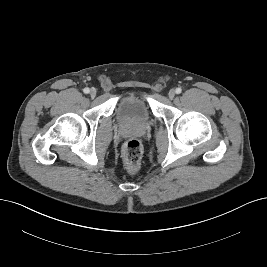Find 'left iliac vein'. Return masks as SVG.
Listing matches in <instances>:
<instances>
[{"label":"left iliac vein","mask_w":267,"mask_h":267,"mask_svg":"<svg viewBox=\"0 0 267 267\" xmlns=\"http://www.w3.org/2000/svg\"><path fill=\"white\" fill-rule=\"evenodd\" d=\"M168 97H169L170 99H173V98L175 97V90L171 89V90L169 91V93H168Z\"/></svg>","instance_id":"4c4485c4"}]
</instances>
